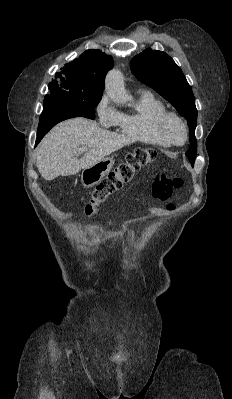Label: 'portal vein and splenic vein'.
<instances>
[{"label":"portal vein and splenic vein","mask_w":232,"mask_h":399,"mask_svg":"<svg viewBox=\"0 0 232 399\" xmlns=\"http://www.w3.org/2000/svg\"><path fill=\"white\" fill-rule=\"evenodd\" d=\"M84 152H88L86 146H82V148H79L78 154H84Z\"/></svg>","instance_id":"portal-vein-and-splenic-vein-1"}]
</instances>
